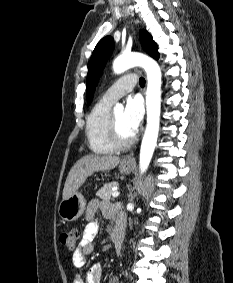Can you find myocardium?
I'll return each mask as SVG.
<instances>
[{"instance_id": "myocardium-1", "label": "myocardium", "mask_w": 233, "mask_h": 283, "mask_svg": "<svg viewBox=\"0 0 233 283\" xmlns=\"http://www.w3.org/2000/svg\"><path fill=\"white\" fill-rule=\"evenodd\" d=\"M108 138L110 144L114 147L115 150H122L130 147L135 141V135L133 134L130 138L122 140L117 131L116 120L114 114L111 113L108 124Z\"/></svg>"}]
</instances>
